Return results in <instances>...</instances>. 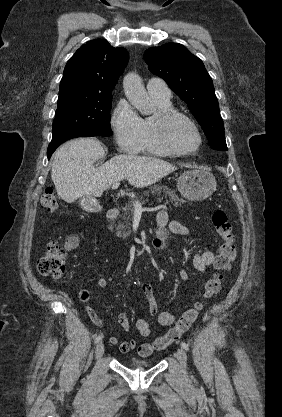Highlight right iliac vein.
Listing matches in <instances>:
<instances>
[{"label": "right iliac vein", "mask_w": 282, "mask_h": 417, "mask_svg": "<svg viewBox=\"0 0 282 417\" xmlns=\"http://www.w3.org/2000/svg\"><path fill=\"white\" fill-rule=\"evenodd\" d=\"M103 354H104V345L102 343H99L97 344L96 349H95V356L98 359L102 357Z\"/></svg>", "instance_id": "obj_1"}]
</instances>
